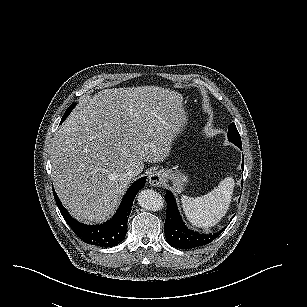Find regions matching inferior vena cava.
Masks as SVG:
<instances>
[{"mask_svg":"<svg viewBox=\"0 0 307 307\" xmlns=\"http://www.w3.org/2000/svg\"><path fill=\"white\" fill-rule=\"evenodd\" d=\"M138 174H140L139 170L136 168H130L128 169V171L126 172V177H128L129 179L137 176Z\"/></svg>","mask_w":307,"mask_h":307,"instance_id":"1","label":"inferior vena cava"}]
</instances>
